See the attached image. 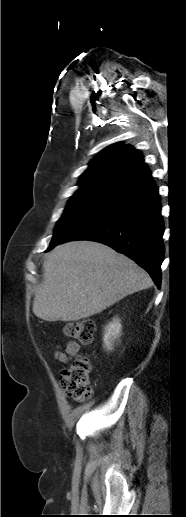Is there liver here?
Returning <instances> with one entry per match:
<instances>
[{
  "label": "liver",
  "instance_id": "liver-1",
  "mask_svg": "<svg viewBox=\"0 0 186 517\" xmlns=\"http://www.w3.org/2000/svg\"><path fill=\"white\" fill-rule=\"evenodd\" d=\"M151 285L144 269L112 248L92 241L68 242L47 255L33 312L45 321H77Z\"/></svg>",
  "mask_w": 186,
  "mask_h": 517
}]
</instances>
